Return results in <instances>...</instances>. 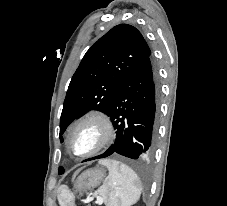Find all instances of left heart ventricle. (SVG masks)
<instances>
[{"label": "left heart ventricle", "mask_w": 227, "mask_h": 206, "mask_svg": "<svg viewBox=\"0 0 227 206\" xmlns=\"http://www.w3.org/2000/svg\"><path fill=\"white\" fill-rule=\"evenodd\" d=\"M100 137L97 125L88 123L80 127L72 136L71 146L74 152L82 154L95 147Z\"/></svg>", "instance_id": "1"}]
</instances>
